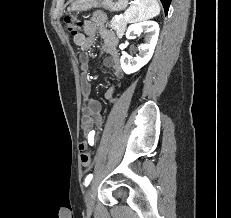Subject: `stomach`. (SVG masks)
Segmentation results:
<instances>
[{
    "label": "stomach",
    "mask_w": 231,
    "mask_h": 218,
    "mask_svg": "<svg viewBox=\"0 0 231 218\" xmlns=\"http://www.w3.org/2000/svg\"><path fill=\"white\" fill-rule=\"evenodd\" d=\"M128 6V0H72L71 11H86L94 7H103L111 12H119Z\"/></svg>",
    "instance_id": "stomach-1"
}]
</instances>
